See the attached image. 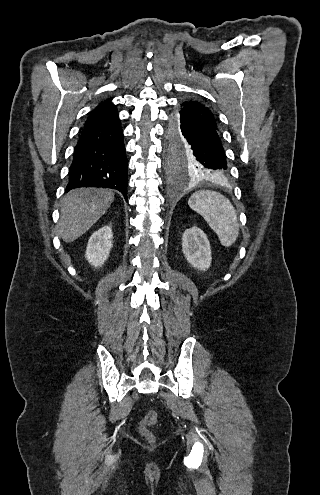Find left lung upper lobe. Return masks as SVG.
Instances as JSON below:
<instances>
[{
    "mask_svg": "<svg viewBox=\"0 0 320 495\" xmlns=\"http://www.w3.org/2000/svg\"><path fill=\"white\" fill-rule=\"evenodd\" d=\"M180 110H187L196 116L211 122L217 128V121L214 114L202 102L193 99H184L179 104L178 111ZM177 112L173 114V124L169 132V172L173 176L185 172L191 177L211 178L210 171L203 165L200 159L199 149L192 146V144L183 136L178 122Z\"/></svg>",
    "mask_w": 320,
    "mask_h": 495,
    "instance_id": "5c2ea615",
    "label": "left lung upper lobe"
}]
</instances>
